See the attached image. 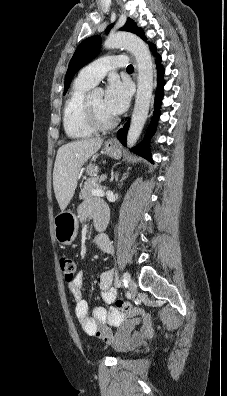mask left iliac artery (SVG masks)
<instances>
[{"label": "left iliac artery", "mask_w": 227, "mask_h": 396, "mask_svg": "<svg viewBox=\"0 0 227 396\" xmlns=\"http://www.w3.org/2000/svg\"><path fill=\"white\" fill-rule=\"evenodd\" d=\"M129 280H130V274L128 272H125L123 274V282L125 287H127Z\"/></svg>", "instance_id": "44dca946"}]
</instances>
